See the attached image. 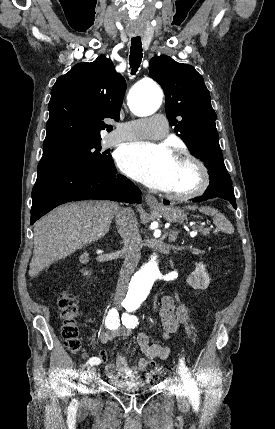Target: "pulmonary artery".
Returning <instances> with one entry per match:
<instances>
[{"label": "pulmonary artery", "instance_id": "pulmonary-artery-1", "mask_svg": "<svg viewBox=\"0 0 275 429\" xmlns=\"http://www.w3.org/2000/svg\"><path fill=\"white\" fill-rule=\"evenodd\" d=\"M167 132L165 117L154 115L148 119H137L118 124L108 136L107 142L114 144L142 138L161 139L166 136Z\"/></svg>", "mask_w": 275, "mask_h": 429}]
</instances>
